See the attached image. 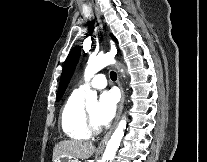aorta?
<instances>
[{"label":"aorta","instance_id":"obj_1","mask_svg":"<svg viewBox=\"0 0 207 162\" xmlns=\"http://www.w3.org/2000/svg\"><path fill=\"white\" fill-rule=\"evenodd\" d=\"M116 61L114 57L108 54H98L96 56H91L88 59L87 66L84 72L85 81L88 82L94 74L99 72L104 67L115 64ZM86 104L97 103V93L92 91L91 89L87 90V94L85 96ZM126 119L123 118L120 120L117 128L112 134L110 140L107 143L105 152L102 157V162H112L116 151L120 145V142L124 136V131L126 129Z\"/></svg>","mask_w":207,"mask_h":162}]
</instances>
